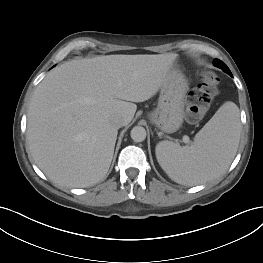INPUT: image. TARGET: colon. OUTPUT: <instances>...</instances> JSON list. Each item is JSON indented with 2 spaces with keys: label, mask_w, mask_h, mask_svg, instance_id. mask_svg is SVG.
Returning <instances> with one entry per match:
<instances>
[{
  "label": "colon",
  "mask_w": 263,
  "mask_h": 263,
  "mask_svg": "<svg viewBox=\"0 0 263 263\" xmlns=\"http://www.w3.org/2000/svg\"><path fill=\"white\" fill-rule=\"evenodd\" d=\"M199 82L186 98L185 114L190 122L200 121L208 112L212 100L219 93L220 79L212 71H201Z\"/></svg>",
  "instance_id": "1"
}]
</instances>
